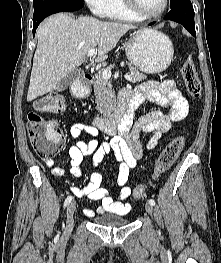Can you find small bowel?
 Returning <instances> with one entry per match:
<instances>
[{"label":"small bowel","instance_id":"small-bowel-1","mask_svg":"<svg viewBox=\"0 0 221 263\" xmlns=\"http://www.w3.org/2000/svg\"><path fill=\"white\" fill-rule=\"evenodd\" d=\"M130 94L133 101L141 105L150 101L163 107L164 110L151 111L128 128L121 129L119 134L112 137L110 141L100 143L97 139L99 130L97 127L86 123H75L70 127L69 133L73 142L67 146L70 158V172L76 177L82 176L80 165L85 156H92L94 172L90 175L89 182L84 186H71L72 193L79 197H86L92 201H99L97 212H111L118 215L127 214L131 210L128 201L131 195V187L127 184L131 170L136 166L137 160L142 156L143 147L141 138L149 136L148 149L157 146L159 139L167 133L171 124L183 120L189 113L187 100L182 96L173 80L146 81L140 83L134 92L124 90ZM82 134L92 137L89 141L79 139ZM112 154L118 164L117 185L121 188L119 197L112 198L108 190L103 186V176L98 171L104 158ZM46 165L51 168L54 177L64 176L65 169L54 166L52 160H46ZM88 217L94 216V211L85 210Z\"/></svg>","mask_w":221,"mask_h":263}]
</instances>
